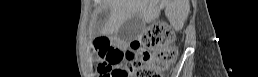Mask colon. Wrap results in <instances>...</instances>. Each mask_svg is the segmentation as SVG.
I'll use <instances>...</instances> for the list:
<instances>
[{"label": "colon", "mask_w": 258, "mask_h": 77, "mask_svg": "<svg viewBox=\"0 0 258 77\" xmlns=\"http://www.w3.org/2000/svg\"><path fill=\"white\" fill-rule=\"evenodd\" d=\"M98 72L106 77H162L177 57L174 35L164 23H156L128 48L97 40Z\"/></svg>", "instance_id": "1"}]
</instances>
